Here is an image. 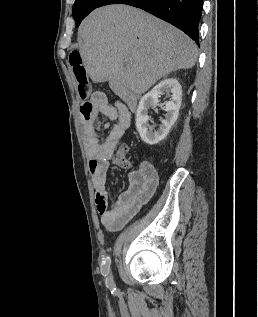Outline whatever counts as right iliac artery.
<instances>
[{
    "label": "right iliac artery",
    "mask_w": 258,
    "mask_h": 317,
    "mask_svg": "<svg viewBox=\"0 0 258 317\" xmlns=\"http://www.w3.org/2000/svg\"><path fill=\"white\" fill-rule=\"evenodd\" d=\"M106 287L111 290V293H114L116 291V285L113 279V276L111 275L110 279L105 281Z\"/></svg>",
    "instance_id": "right-iliac-artery-1"
}]
</instances>
